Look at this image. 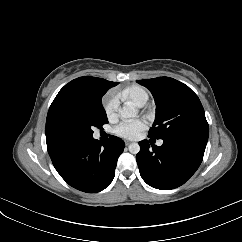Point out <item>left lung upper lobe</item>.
I'll list each match as a JSON object with an SVG mask.
<instances>
[{
	"label": "left lung upper lobe",
	"mask_w": 242,
	"mask_h": 242,
	"mask_svg": "<svg viewBox=\"0 0 242 242\" xmlns=\"http://www.w3.org/2000/svg\"><path fill=\"white\" fill-rule=\"evenodd\" d=\"M148 88L156 103V118L149 137L163 140H208L209 126L197 95L185 84L169 77L137 80Z\"/></svg>",
	"instance_id": "left-lung-upper-lobe-1"
}]
</instances>
